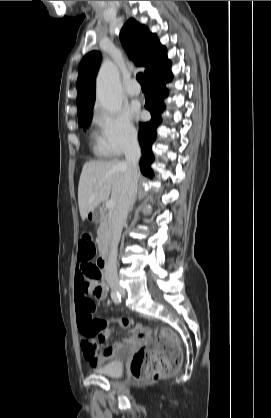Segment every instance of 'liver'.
<instances>
[{"label":"liver","instance_id":"6515ba94","mask_svg":"<svg viewBox=\"0 0 271 418\" xmlns=\"http://www.w3.org/2000/svg\"><path fill=\"white\" fill-rule=\"evenodd\" d=\"M126 163L119 160L90 161L82 168L78 186V205L82 220L111 195L116 203L122 193Z\"/></svg>","mask_w":271,"mask_h":418}]
</instances>
